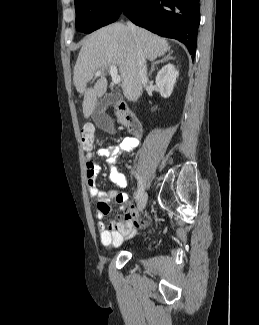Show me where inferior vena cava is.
Segmentation results:
<instances>
[{
  "label": "inferior vena cava",
  "instance_id": "inferior-vena-cava-1",
  "mask_svg": "<svg viewBox=\"0 0 259 325\" xmlns=\"http://www.w3.org/2000/svg\"><path fill=\"white\" fill-rule=\"evenodd\" d=\"M127 26L133 34H136L137 29L133 23L127 22ZM136 68L138 71L140 82L142 84L146 83L148 81L147 65H146L145 57L143 56V53L140 50L137 51V55H136Z\"/></svg>",
  "mask_w": 259,
  "mask_h": 325
}]
</instances>
